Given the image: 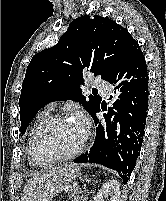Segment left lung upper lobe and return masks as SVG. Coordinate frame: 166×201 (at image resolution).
Returning a JSON list of instances; mask_svg holds the SVG:
<instances>
[{
	"label": "left lung upper lobe",
	"instance_id": "5c2ea615",
	"mask_svg": "<svg viewBox=\"0 0 166 201\" xmlns=\"http://www.w3.org/2000/svg\"><path fill=\"white\" fill-rule=\"evenodd\" d=\"M137 43L126 28L100 16L74 19L58 43L33 56L27 67L19 99L21 134L47 103L72 99L93 117L101 97L81 94L86 71L109 81Z\"/></svg>",
	"mask_w": 166,
	"mask_h": 201
}]
</instances>
